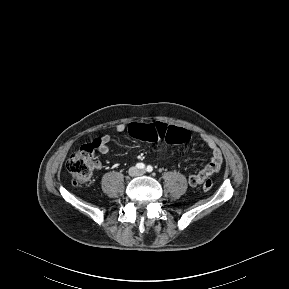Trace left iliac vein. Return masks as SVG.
I'll return each instance as SVG.
<instances>
[{"label":"left iliac vein","instance_id":"obj_1","mask_svg":"<svg viewBox=\"0 0 289 289\" xmlns=\"http://www.w3.org/2000/svg\"><path fill=\"white\" fill-rule=\"evenodd\" d=\"M139 173H140V174H143V173H144V171H140Z\"/></svg>","mask_w":289,"mask_h":289}]
</instances>
